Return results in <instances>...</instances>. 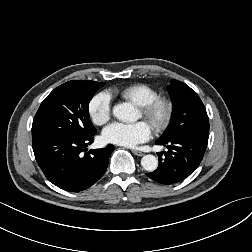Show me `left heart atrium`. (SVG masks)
Returning <instances> with one entry per match:
<instances>
[{
    "mask_svg": "<svg viewBox=\"0 0 252 252\" xmlns=\"http://www.w3.org/2000/svg\"><path fill=\"white\" fill-rule=\"evenodd\" d=\"M152 127L145 121L136 123L116 122L103 131V139L107 143L125 147H133L150 139Z\"/></svg>",
    "mask_w": 252,
    "mask_h": 252,
    "instance_id": "left-heart-atrium-1",
    "label": "left heart atrium"
}]
</instances>
